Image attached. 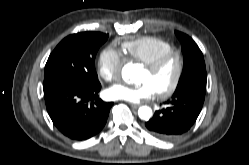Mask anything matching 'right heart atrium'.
I'll use <instances>...</instances> for the list:
<instances>
[{
	"mask_svg": "<svg viewBox=\"0 0 249 165\" xmlns=\"http://www.w3.org/2000/svg\"><path fill=\"white\" fill-rule=\"evenodd\" d=\"M123 65L120 53L113 47H106L98 57V75L107 82L118 78Z\"/></svg>",
	"mask_w": 249,
	"mask_h": 165,
	"instance_id": "d8ad5b80",
	"label": "right heart atrium"
}]
</instances>
